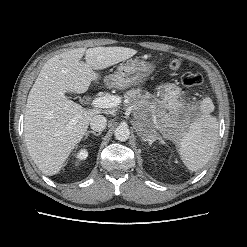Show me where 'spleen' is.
Segmentation results:
<instances>
[{
    "instance_id": "1",
    "label": "spleen",
    "mask_w": 247,
    "mask_h": 247,
    "mask_svg": "<svg viewBox=\"0 0 247 247\" xmlns=\"http://www.w3.org/2000/svg\"><path fill=\"white\" fill-rule=\"evenodd\" d=\"M200 109L203 114L190 124L178 145L180 157L191 171H197L208 163L218 139V121L210 114L214 110L212 100L203 99Z\"/></svg>"
}]
</instances>
